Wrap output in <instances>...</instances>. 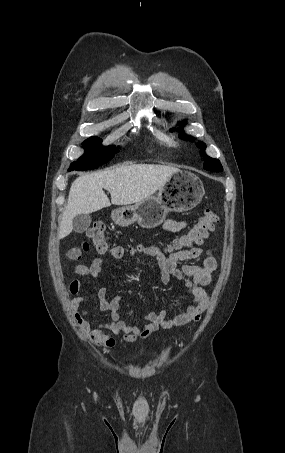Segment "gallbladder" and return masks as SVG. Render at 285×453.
I'll list each match as a JSON object with an SVG mask.
<instances>
[{
  "label": "gallbladder",
  "mask_w": 285,
  "mask_h": 453,
  "mask_svg": "<svg viewBox=\"0 0 285 453\" xmlns=\"http://www.w3.org/2000/svg\"><path fill=\"white\" fill-rule=\"evenodd\" d=\"M91 223V217L89 214H78L74 217L72 225L73 230L76 233H83L85 232Z\"/></svg>",
  "instance_id": "bac80fb5"
}]
</instances>
